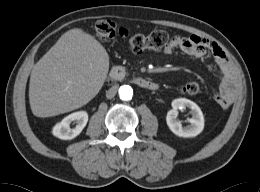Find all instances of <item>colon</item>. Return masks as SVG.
<instances>
[{
	"instance_id": "5ec220e1",
	"label": "colon",
	"mask_w": 260,
	"mask_h": 192,
	"mask_svg": "<svg viewBox=\"0 0 260 192\" xmlns=\"http://www.w3.org/2000/svg\"><path fill=\"white\" fill-rule=\"evenodd\" d=\"M95 32L97 37L103 42L116 37L127 39L135 51L145 49L161 50L166 48L172 41L168 32L164 30H155L147 35L129 34L126 29L118 27L114 22L108 19L98 20L95 24ZM181 91L184 94L194 95L200 91V87L196 82H190L183 85Z\"/></svg>"
}]
</instances>
